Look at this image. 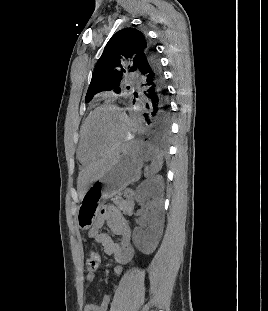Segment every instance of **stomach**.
Listing matches in <instances>:
<instances>
[{
	"label": "stomach",
	"mask_w": 268,
	"mask_h": 311,
	"mask_svg": "<svg viewBox=\"0 0 268 311\" xmlns=\"http://www.w3.org/2000/svg\"><path fill=\"white\" fill-rule=\"evenodd\" d=\"M147 146L126 147L117 155L104 173L91 183L77 207L76 222L81 230L94 224L102 204L121 193L129 184L140 179Z\"/></svg>",
	"instance_id": "obj_1"
}]
</instances>
